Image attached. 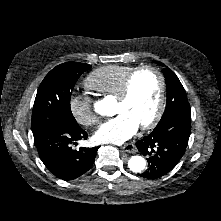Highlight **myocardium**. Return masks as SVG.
Instances as JSON below:
<instances>
[{
	"label": "myocardium",
	"mask_w": 221,
	"mask_h": 221,
	"mask_svg": "<svg viewBox=\"0 0 221 221\" xmlns=\"http://www.w3.org/2000/svg\"><path fill=\"white\" fill-rule=\"evenodd\" d=\"M144 71H151L155 73L159 79V98H158V103H157L155 114L153 115L151 120L140 125V128L145 130V129H150L156 126L163 115L164 106H165V96H166V80H165L163 73L157 67L152 66V65H144V66L135 68L126 77L123 83V86L121 88V91L116 97V100L119 102H125L129 98L134 79L136 78L138 74Z\"/></svg>",
	"instance_id": "1"
}]
</instances>
